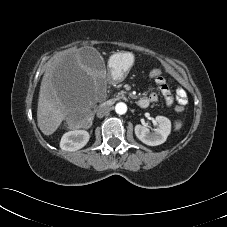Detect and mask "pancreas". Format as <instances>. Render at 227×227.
Masks as SVG:
<instances>
[{"label":"pancreas","mask_w":227,"mask_h":227,"mask_svg":"<svg viewBox=\"0 0 227 227\" xmlns=\"http://www.w3.org/2000/svg\"><path fill=\"white\" fill-rule=\"evenodd\" d=\"M119 99H124V100H126L125 92H124V91L119 92V93L116 95V98H115L114 100H119Z\"/></svg>","instance_id":"obj_1"}]
</instances>
